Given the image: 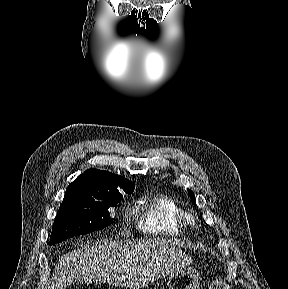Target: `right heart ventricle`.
<instances>
[{
  "label": "right heart ventricle",
  "instance_id": "obj_1",
  "mask_svg": "<svg viewBox=\"0 0 288 289\" xmlns=\"http://www.w3.org/2000/svg\"><path fill=\"white\" fill-rule=\"evenodd\" d=\"M142 205L146 211L140 225L150 234L178 236L190 224L188 210L171 196L159 195L144 199Z\"/></svg>",
  "mask_w": 288,
  "mask_h": 289
}]
</instances>
